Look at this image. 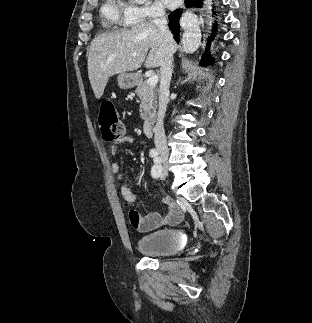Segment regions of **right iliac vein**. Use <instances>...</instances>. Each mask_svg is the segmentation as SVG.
<instances>
[{
	"label": "right iliac vein",
	"mask_w": 312,
	"mask_h": 323,
	"mask_svg": "<svg viewBox=\"0 0 312 323\" xmlns=\"http://www.w3.org/2000/svg\"><path fill=\"white\" fill-rule=\"evenodd\" d=\"M162 174H163L164 176H167V175H168V173H167V169L163 168V169H162Z\"/></svg>",
	"instance_id": "right-iliac-vein-1"
}]
</instances>
